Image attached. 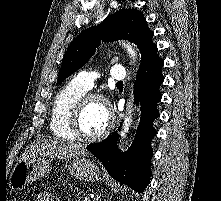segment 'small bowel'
I'll list each match as a JSON object with an SVG mask.
<instances>
[{"label": "small bowel", "mask_w": 221, "mask_h": 201, "mask_svg": "<svg viewBox=\"0 0 221 201\" xmlns=\"http://www.w3.org/2000/svg\"><path fill=\"white\" fill-rule=\"evenodd\" d=\"M36 201H55V200L49 193L43 192L37 196Z\"/></svg>", "instance_id": "c3829d8e"}]
</instances>
